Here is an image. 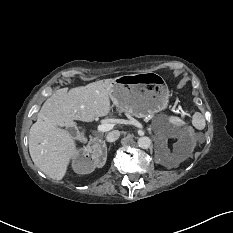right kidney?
I'll use <instances>...</instances> for the list:
<instances>
[{"label":"right kidney","instance_id":"ca27d5eb","mask_svg":"<svg viewBox=\"0 0 233 233\" xmlns=\"http://www.w3.org/2000/svg\"><path fill=\"white\" fill-rule=\"evenodd\" d=\"M88 155V157H86ZM107 160V151L96 148H88L84 156L76 158L72 162L73 170L78 174L92 173L96 168L103 167Z\"/></svg>","mask_w":233,"mask_h":233}]
</instances>
